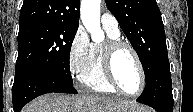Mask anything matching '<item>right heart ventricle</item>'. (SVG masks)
<instances>
[{
    "label": "right heart ventricle",
    "mask_w": 193,
    "mask_h": 112,
    "mask_svg": "<svg viewBox=\"0 0 193 112\" xmlns=\"http://www.w3.org/2000/svg\"><path fill=\"white\" fill-rule=\"evenodd\" d=\"M106 30V29H105ZM109 39H119L120 33L106 30ZM102 44H92L89 62L80 75L81 83L88 89L106 94H116L117 91L108 83L102 67Z\"/></svg>",
    "instance_id": "e07e8e85"
}]
</instances>
